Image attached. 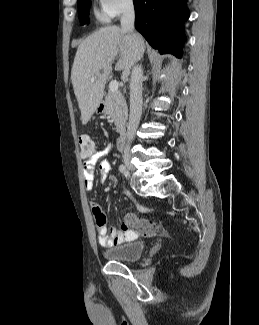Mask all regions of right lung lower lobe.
Wrapping results in <instances>:
<instances>
[{"instance_id":"right-lung-lower-lobe-1","label":"right lung lower lobe","mask_w":259,"mask_h":325,"mask_svg":"<svg viewBox=\"0 0 259 325\" xmlns=\"http://www.w3.org/2000/svg\"><path fill=\"white\" fill-rule=\"evenodd\" d=\"M135 27L161 54L182 55L183 24L189 18L186 0H133Z\"/></svg>"}]
</instances>
